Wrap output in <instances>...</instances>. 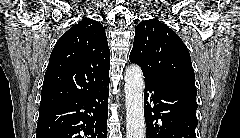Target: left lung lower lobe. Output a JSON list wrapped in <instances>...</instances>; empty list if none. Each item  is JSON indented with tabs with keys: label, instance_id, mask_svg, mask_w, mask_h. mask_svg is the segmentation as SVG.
<instances>
[{
	"label": "left lung lower lobe",
	"instance_id": "1",
	"mask_svg": "<svg viewBox=\"0 0 240 138\" xmlns=\"http://www.w3.org/2000/svg\"><path fill=\"white\" fill-rule=\"evenodd\" d=\"M196 95L191 81H145L146 138H196Z\"/></svg>",
	"mask_w": 240,
	"mask_h": 138
}]
</instances>
